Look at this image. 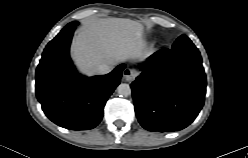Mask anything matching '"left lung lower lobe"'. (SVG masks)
<instances>
[{
    "label": "left lung lower lobe",
    "mask_w": 248,
    "mask_h": 158,
    "mask_svg": "<svg viewBox=\"0 0 248 158\" xmlns=\"http://www.w3.org/2000/svg\"><path fill=\"white\" fill-rule=\"evenodd\" d=\"M131 84L136 116L146 130L184 129L200 112L206 75L198 49L179 37L171 49L154 53Z\"/></svg>",
    "instance_id": "obj_1"
}]
</instances>
